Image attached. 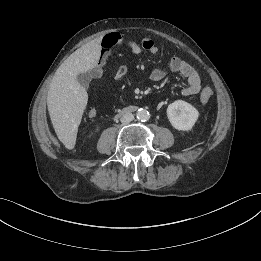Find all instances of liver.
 I'll list each match as a JSON object with an SVG mask.
<instances>
[{
    "mask_svg": "<svg viewBox=\"0 0 261 261\" xmlns=\"http://www.w3.org/2000/svg\"><path fill=\"white\" fill-rule=\"evenodd\" d=\"M102 37L85 44L59 67L47 95V106L58 139L73 144L87 105L88 94L77 75L92 70L100 58Z\"/></svg>",
    "mask_w": 261,
    "mask_h": 261,
    "instance_id": "obj_1",
    "label": "liver"
}]
</instances>
